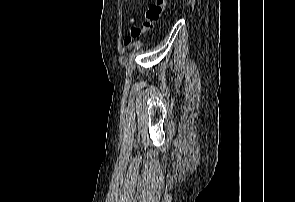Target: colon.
I'll return each mask as SVG.
<instances>
[{
    "instance_id": "1",
    "label": "colon",
    "mask_w": 295,
    "mask_h": 202,
    "mask_svg": "<svg viewBox=\"0 0 295 202\" xmlns=\"http://www.w3.org/2000/svg\"><path fill=\"white\" fill-rule=\"evenodd\" d=\"M167 0H155L147 10L145 19L141 27L132 26L130 28V36L125 40V44H129L132 38L139 37L143 31L151 29L154 24L160 19Z\"/></svg>"
}]
</instances>
